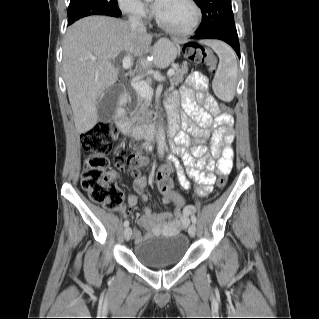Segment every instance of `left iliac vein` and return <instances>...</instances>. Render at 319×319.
I'll return each instance as SVG.
<instances>
[{
	"label": "left iliac vein",
	"mask_w": 319,
	"mask_h": 319,
	"mask_svg": "<svg viewBox=\"0 0 319 319\" xmlns=\"http://www.w3.org/2000/svg\"><path fill=\"white\" fill-rule=\"evenodd\" d=\"M188 233L191 237H194L196 234V226L195 224H191L188 228Z\"/></svg>",
	"instance_id": "left-iliac-vein-1"
}]
</instances>
